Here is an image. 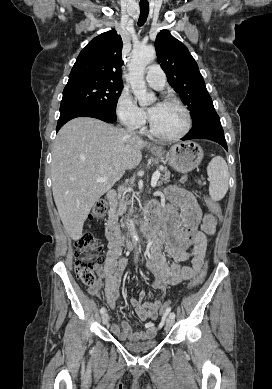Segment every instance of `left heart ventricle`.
<instances>
[{
  "mask_svg": "<svg viewBox=\"0 0 272 389\" xmlns=\"http://www.w3.org/2000/svg\"><path fill=\"white\" fill-rule=\"evenodd\" d=\"M148 111L154 127L163 134H177L185 126L183 112L174 105L153 102Z\"/></svg>",
  "mask_w": 272,
  "mask_h": 389,
  "instance_id": "obj_1",
  "label": "left heart ventricle"
}]
</instances>
